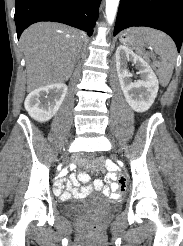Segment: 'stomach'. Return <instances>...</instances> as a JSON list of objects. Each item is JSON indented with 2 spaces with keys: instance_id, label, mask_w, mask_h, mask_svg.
Wrapping results in <instances>:
<instances>
[{
  "instance_id": "1",
  "label": "stomach",
  "mask_w": 183,
  "mask_h": 246,
  "mask_svg": "<svg viewBox=\"0 0 183 246\" xmlns=\"http://www.w3.org/2000/svg\"><path fill=\"white\" fill-rule=\"evenodd\" d=\"M143 31V28H133L122 33L120 41L130 46H139L144 42L140 38L139 34Z\"/></svg>"
}]
</instances>
